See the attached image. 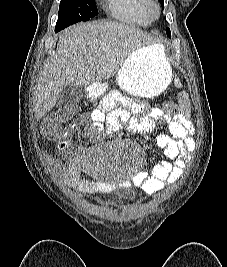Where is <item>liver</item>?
<instances>
[{"label":"liver","mask_w":227,"mask_h":267,"mask_svg":"<svg viewBox=\"0 0 227 267\" xmlns=\"http://www.w3.org/2000/svg\"><path fill=\"white\" fill-rule=\"evenodd\" d=\"M151 42L146 32L116 21L77 24L65 29L59 34L56 53L37 79L36 119H41L55 106L66 85L88 87L104 82L119 71L131 53Z\"/></svg>","instance_id":"liver-1"}]
</instances>
